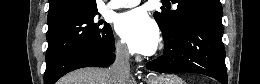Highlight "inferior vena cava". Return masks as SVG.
Returning <instances> with one entry per match:
<instances>
[{"instance_id": "obj_1", "label": "inferior vena cava", "mask_w": 260, "mask_h": 84, "mask_svg": "<svg viewBox=\"0 0 260 84\" xmlns=\"http://www.w3.org/2000/svg\"><path fill=\"white\" fill-rule=\"evenodd\" d=\"M116 58L111 66L114 84H127L130 77L129 52L123 48H116Z\"/></svg>"}]
</instances>
